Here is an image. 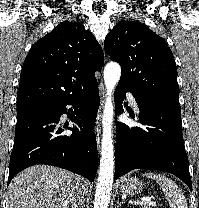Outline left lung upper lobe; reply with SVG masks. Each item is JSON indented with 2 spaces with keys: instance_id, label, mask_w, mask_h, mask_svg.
<instances>
[{
  "instance_id": "obj_1",
  "label": "left lung upper lobe",
  "mask_w": 199,
  "mask_h": 208,
  "mask_svg": "<svg viewBox=\"0 0 199 208\" xmlns=\"http://www.w3.org/2000/svg\"><path fill=\"white\" fill-rule=\"evenodd\" d=\"M104 48L121 65L119 83L150 101L180 107L177 68L163 38L146 25L122 20L106 36Z\"/></svg>"
}]
</instances>
